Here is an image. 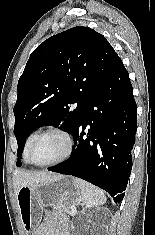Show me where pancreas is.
Masks as SVG:
<instances>
[{"instance_id":"1","label":"pancreas","mask_w":155,"mask_h":235,"mask_svg":"<svg viewBox=\"0 0 155 235\" xmlns=\"http://www.w3.org/2000/svg\"><path fill=\"white\" fill-rule=\"evenodd\" d=\"M59 210H62L63 212H65V213H68V214H70V210H69V208H66V207H62V208H58Z\"/></svg>"}]
</instances>
